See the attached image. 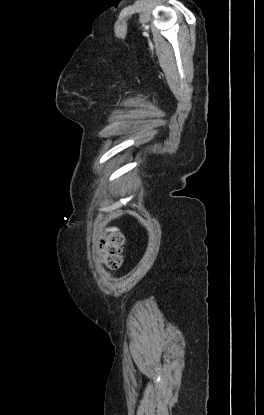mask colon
Returning <instances> with one entry per match:
<instances>
[{"label": "colon", "mask_w": 264, "mask_h": 415, "mask_svg": "<svg viewBox=\"0 0 264 415\" xmlns=\"http://www.w3.org/2000/svg\"><path fill=\"white\" fill-rule=\"evenodd\" d=\"M123 242V235L119 232H111L100 240L98 250L102 254L105 266L108 269H116L121 264Z\"/></svg>", "instance_id": "5ec220e1"}]
</instances>
